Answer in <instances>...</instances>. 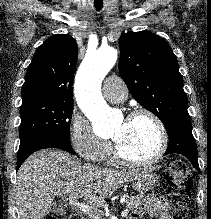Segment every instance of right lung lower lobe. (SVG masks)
Instances as JSON below:
<instances>
[{
    "instance_id": "98d812e1",
    "label": "right lung lower lobe",
    "mask_w": 211,
    "mask_h": 219,
    "mask_svg": "<svg viewBox=\"0 0 211 219\" xmlns=\"http://www.w3.org/2000/svg\"><path fill=\"white\" fill-rule=\"evenodd\" d=\"M44 148H59L75 154L71 143H66L55 138H38L19 147L17 158V170L20 168L24 160L37 150Z\"/></svg>"
}]
</instances>
